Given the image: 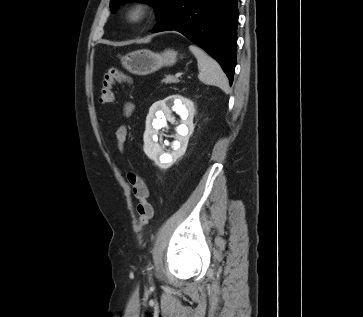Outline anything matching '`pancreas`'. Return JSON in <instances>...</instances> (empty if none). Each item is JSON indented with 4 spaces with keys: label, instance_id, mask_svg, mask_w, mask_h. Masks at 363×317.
Segmentation results:
<instances>
[{
    "label": "pancreas",
    "instance_id": "cf45deb5",
    "mask_svg": "<svg viewBox=\"0 0 363 317\" xmlns=\"http://www.w3.org/2000/svg\"><path fill=\"white\" fill-rule=\"evenodd\" d=\"M179 80L172 75L165 76V79L162 80V83H177Z\"/></svg>",
    "mask_w": 363,
    "mask_h": 317
}]
</instances>
